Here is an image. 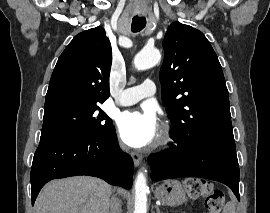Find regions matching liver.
Here are the masks:
<instances>
[{"label":"liver","instance_id":"1","mask_svg":"<svg viewBox=\"0 0 270 213\" xmlns=\"http://www.w3.org/2000/svg\"><path fill=\"white\" fill-rule=\"evenodd\" d=\"M112 187L105 181L78 176L48 183L36 202V213H108Z\"/></svg>","mask_w":270,"mask_h":213}]
</instances>
